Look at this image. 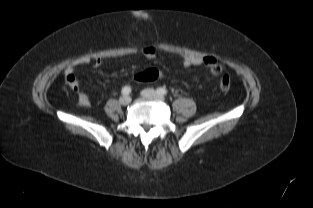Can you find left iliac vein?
<instances>
[{"instance_id": "left-iliac-vein-1", "label": "left iliac vein", "mask_w": 313, "mask_h": 208, "mask_svg": "<svg viewBox=\"0 0 313 208\" xmlns=\"http://www.w3.org/2000/svg\"><path fill=\"white\" fill-rule=\"evenodd\" d=\"M142 97L146 98V99H157L160 101H164L165 98L158 94L155 90L153 89H145L141 92Z\"/></svg>"}]
</instances>
